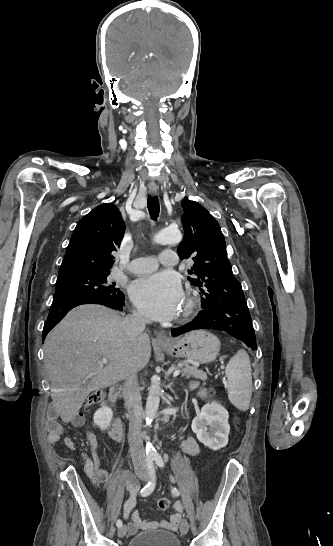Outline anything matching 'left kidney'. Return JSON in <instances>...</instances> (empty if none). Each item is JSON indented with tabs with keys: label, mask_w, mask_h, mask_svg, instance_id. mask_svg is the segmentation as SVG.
Wrapping results in <instances>:
<instances>
[{
	"label": "left kidney",
	"mask_w": 333,
	"mask_h": 546,
	"mask_svg": "<svg viewBox=\"0 0 333 546\" xmlns=\"http://www.w3.org/2000/svg\"><path fill=\"white\" fill-rule=\"evenodd\" d=\"M228 418L229 414L221 404L215 401L209 402L193 419L192 430L200 442L216 451L228 443L230 432Z\"/></svg>",
	"instance_id": "left-kidney-1"
}]
</instances>
